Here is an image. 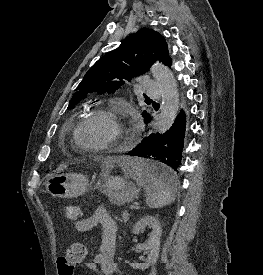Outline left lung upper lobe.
Here are the masks:
<instances>
[{
  "instance_id": "5c2ea615",
  "label": "left lung upper lobe",
  "mask_w": 263,
  "mask_h": 275,
  "mask_svg": "<svg viewBox=\"0 0 263 275\" xmlns=\"http://www.w3.org/2000/svg\"><path fill=\"white\" fill-rule=\"evenodd\" d=\"M155 61L167 66L171 64L167 43L158 32L142 28L87 71L69 102V108H74L87 95L114 93L126 80L147 72ZM142 115L145 122L150 118L146 111Z\"/></svg>"
}]
</instances>
